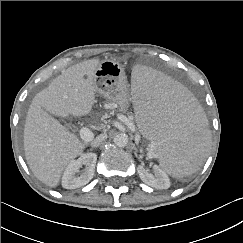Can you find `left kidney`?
<instances>
[{
  "mask_svg": "<svg viewBox=\"0 0 243 243\" xmlns=\"http://www.w3.org/2000/svg\"><path fill=\"white\" fill-rule=\"evenodd\" d=\"M141 180L155 188L167 189L170 187V180L168 175L160 168H155V174L149 173L143 166L139 165L137 168Z\"/></svg>",
  "mask_w": 243,
  "mask_h": 243,
  "instance_id": "5707ae66",
  "label": "left kidney"
}]
</instances>
